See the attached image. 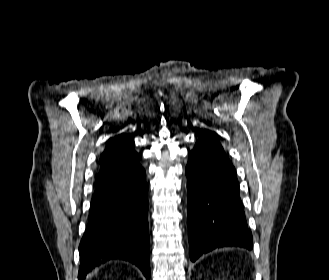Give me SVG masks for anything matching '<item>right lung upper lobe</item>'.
Wrapping results in <instances>:
<instances>
[{"instance_id":"obj_1","label":"right lung upper lobe","mask_w":329,"mask_h":280,"mask_svg":"<svg viewBox=\"0 0 329 280\" xmlns=\"http://www.w3.org/2000/svg\"><path fill=\"white\" fill-rule=\"evenodd\" d=\"M140 155L134 149V141L122 133L111 139L100 157V171L114 167H128L139 164Z\"/></svg>"}]
</instances>
